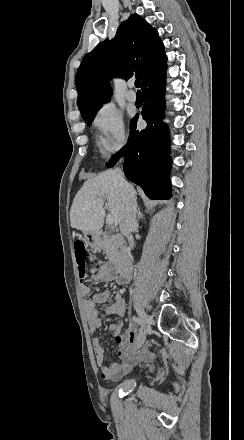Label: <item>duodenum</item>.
Returning <instances> with one entry per match:
<instances>
[{"mask_svg":"<svg viewBox=\"0 0 244 440\" xmlns=\"http://www.w3.org/2000/svg\"><path fill=\"white\" fill-rule=\"evenodd\" d=\"M92 242L97 247H105V241H104V234L101 232L96 233L93 238ZM121 244V242H119ZM134 265V259L130 254H121L118 258L116 268L119 272H125L130 273V270L132 269Z\"/></svg>","mask_w":244,"mask_h":440,"instance_id":"obj_1","label":"duodenum"}]
</instances>
